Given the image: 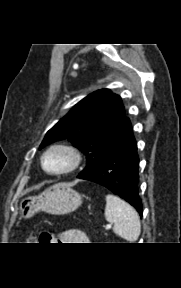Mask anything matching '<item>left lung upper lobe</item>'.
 Wrapping results in <instances>:
<instances>
[{"label": "left lung upper lobe", "instance_id": "obj_1", "mask_svg": "<svg viewBox=\"0 0 181 288\" xmlns=\"http://www.w3.org/2000/svg\"><path fill=\"white\" fill-rule=\"evenodd\" d=\"M128 121L120 96L101 89L82 99L54 125L39 149L68 138L86 155L87 165L78 177L85 176L122 138Z\"/></svg>", "mask_w": 181, "mask_h": 288}]
</instances>
